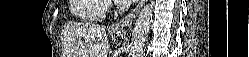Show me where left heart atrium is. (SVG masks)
<instances>
[{"mask_svg":"<svg viewBox=\"0 0 249 57\" xmlns=\"http://www.w3.org/2000/svg\"><path fill=\"white\" fill-rule=\"evenodd\" d=\"M119 3H131V0H118Z\"/></svg>","mask_w":249,"mask_h":57,"instance_id":"obj_1","label":"left heart atrium"}]
</instances>
